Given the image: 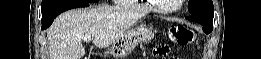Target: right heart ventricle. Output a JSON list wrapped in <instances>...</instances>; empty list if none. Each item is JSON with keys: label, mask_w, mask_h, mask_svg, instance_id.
I'll return each mask as SVG.
<instances>
[{"label": "right heart ventricle", "mask_w": 261, "mask_h": 59, "mask_svg": "<svg viewBox=\"0 0 261 59\" xmlns=\"http://www.w3.org/2000/svg\"><path fill=\"white\" fill-rule=\"evenodd\" d=\"M120 3L126 5V6H131V5H136L138 1H135V0H119ZM144 10L148 11V7L147 8H144Z\"/></svg>", "instance_id": "1"}]
</instances>
